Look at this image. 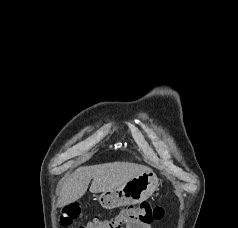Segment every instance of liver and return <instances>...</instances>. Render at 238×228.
<instances>
[{
	"mask_svg": "<svg viewBox=\"0 0 238 228\" xmlns=\"http://www.w3.org/2000/svg\"><path fill=\"white\" fill-rule=\"evenodd\" d=\"M151 169L130 162H113L76 169L63 183L58 204L63 207L80 199L87 191L91 179V193H103L114 190L137 175Z\"/></svg>",
	"mask_w": 238,
	"mask_h": 228,
	"instance_id": "6515ba94",
	"label": "liver"
}]
</instances>
